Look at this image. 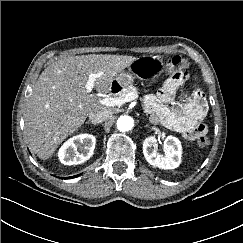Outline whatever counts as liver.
<instances>
[{
  "instance_id": "6515ba94",
  "label": "liver",
  "mask_w": 243,
  "mask_h": 243,
  "mask_svg": "<svg viewBox=\"0 0 243 243\" xmlns=\"http://www.w3.org/2000/svg\"><path fill=\"white\" fill-rule=\"evenodd\" d=\"M134 59L111 54L70 56L45 68L33 86L24 114L32 151L41 159L50 158L91 111L104 107L99 97L86 90L90 74L101 73L94 86L106 94L115 76Z\"/></svg>"
}]
</instances>
